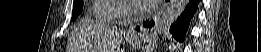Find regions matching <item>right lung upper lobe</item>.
<instances>
[{
  "label": "right lung upper lobe",
  "mask_w": 261,
  "mask_h": 52,
  "mask_svg": "<svg viewBox=\"0 0 261 52\" xmlns=\"http://www.w3.org/2000/svg\"><path fill=\"white\" fill-rule=\"evenodd\" d=\"M77 1H79V0H74V3L77 2Z\"/></svg>",
  "instance_id": "1"
}]
</instances>
